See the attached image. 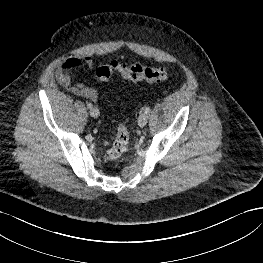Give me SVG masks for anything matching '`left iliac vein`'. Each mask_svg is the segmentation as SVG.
<instances>
[{"label": "left iliac vein", "mask_w": 263, "mask_h": 263, "mask_svg": "<svg viewBox=\"0 0 263 263\" xmlns=\"http://www.w3.org/2000/svg\"><path fill=\"white\" fill-rule=\"evenodd\" d=\"M148 121V115L146 113H143L138 118V125L140 127H144L147 124Z\"/></svg>", "instance_id": "left-iliac-vein-1"}]
</instances>
